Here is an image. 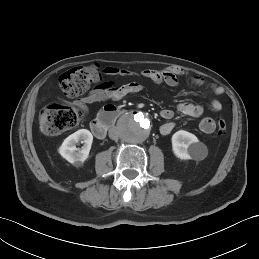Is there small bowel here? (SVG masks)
<instances>
[{"label":"small bowel","instance_id":"small-bowel-1","mask_svg":"<svg viewBox=\"0 0 259 259\" xmlns=\"http://www.w3.org/2000/svg\"><path fill=\"white\" fill-rule=\"evenodd\" d=\"M105 74L111 76L131 77L133 73L127 69L119 68L115 66H109L104 69ZM188 71L181 66H171L163 70L148 69L140 73V76L153 82L154 84H165L169 87H175L179 83V77L185 76ZM192 82L199 86L206 85L204 78L193 75L191 77ZM143 89V86L136 81L128 82L125 84H116L113 81H104L90 90L84 97L74 102V106L82 110L84 114L88 112V105L103 102V101H117L125 96L136 94ZM213 93L216 96H220L224 93L222 87L214 85L211 86ZM210 110L219 111L222 108L221 102L214 99L210 102ZM177 110L183 115L198 118L203 115L204 107L199 104L190 102H181L177 106ZM160 116L167 122L164 123L160 132L163 135H168L174 129V111L171 109H163L160 112ZM199 129L204 134H212L216 129L215 121L210 117L203 118L199 123Z\"/></svg>","mask_w":259,"mask_h":259}]
</instances>
